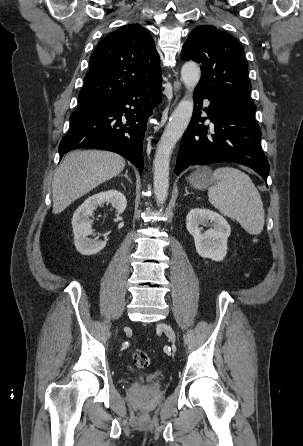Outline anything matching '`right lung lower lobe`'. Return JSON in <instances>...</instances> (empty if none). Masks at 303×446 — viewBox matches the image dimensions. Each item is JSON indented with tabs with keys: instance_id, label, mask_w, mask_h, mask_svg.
<instances>
[{
	"instance_id": "1",
	"label": "right lung lower lobe",
	"mask_w": 303,
	"mask_h": 446,
	"mask_svg": "<svg viewBox=\"0 0 303 446\" xmlns=\"http://www.w3.org/2000/svg\"><path fill=\"white\" fill-rule=\"evenodd\" d=\"M160 86L161 80L79 105L59 145L60 158L71 150L98 148L120 154L142 173L143 138Z\"/></svg>"
}]
</instances>
